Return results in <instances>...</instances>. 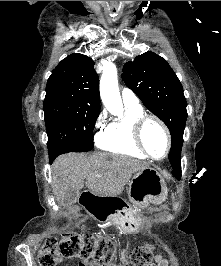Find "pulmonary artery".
Returning a JSON list of instances; mask_svg holds the SVG:
<instances>
[{
	"label": "pulmonary artery",
	"instance_id": "1",
	"mask_svg": "<svg viewBox=\"0 0 221 266\" xmlns=\"http://www.w3.org/2000/svg\"><path fill=\"white\" fill-rule=\"evenodd\" d=\"M122 101L125 106L133 108L140 107L137 96L132 90L128 88H123L122 90Z\"/></svg>",
	"mask_w": 221,
	"mask_h": 266
}]
</instances>
